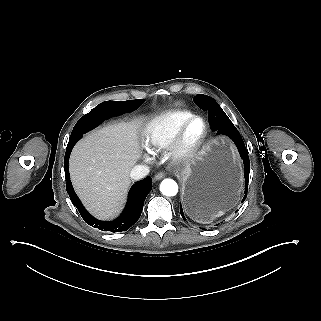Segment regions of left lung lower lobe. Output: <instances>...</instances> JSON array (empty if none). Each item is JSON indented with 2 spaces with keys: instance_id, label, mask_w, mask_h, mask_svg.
Segmentation results:
<instances>
[{
  "instance_id": "1",
  "label": "left lung lower lobe",
  "mask_w": 321,
  "mask_h": 321,
  "mask_svg": "<svg viewBox=\"0 0 321 321\" xmlns=\"http://www.w3.org/2000/svg\"><path fill=\"white\" fill-rule=\"evenodd\" d=\"M208 117H209V123L211 125V129L213 131H217V134H225L229 136L234 143L236 144L240 156L243 159L244 166H245V196L242 200L246 199L247 196V190H248V181H249V173H250V161L249 156L246 151V147L244 145L243 139L241 138L240 133L234 127L233 123L229 120L228 116L225 114V112L220 107H208ZM180 213L182 215V218L186 221L182 207L180 205Z\"/></svg>"
}]
</instances>
